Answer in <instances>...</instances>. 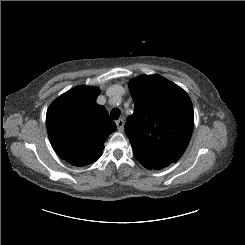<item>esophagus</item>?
I'll list each match as a JSON object with an SVG mask.
<instances>
[{
    "mask_svg": "<svg viewBox=\"0 0 245 245\" xmlns=\"http://www.w3.org/2000/svg\"><path fill=\"white\" fill-rule=\"evenodd\" d=\"M124 119L123 118H120L119 120L116 121V125H117V129L120 131V132H123L124 130Z\"/></svg>",
    "mask_w": 245,
    "mask_h": 245,
    "instance_id": "34e87169",
    "label": "esophagus"
}]
</instances>
